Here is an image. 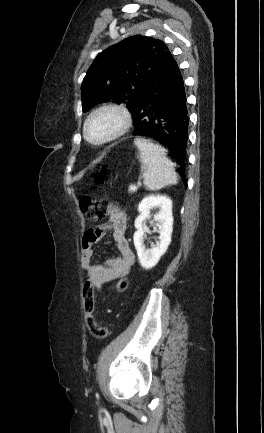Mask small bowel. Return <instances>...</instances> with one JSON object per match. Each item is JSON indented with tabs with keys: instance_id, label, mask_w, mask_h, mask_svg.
<instances>
[{
	"instance_id": "small-bowel-1",
	"label": "small bowel",
	"mask_w": 264,
	"mask_h": 433,
	"mask_svg": "<svg viewBox=\"0 0 264 433\" xmlns=\"http://www.w3.org/2000/svg\"><path fill=\"white\" fill-rule=\"evenodd\" d=\"M108 221L105 225L89 229L81 241V264L88 280L100 290L106 283L125 277L135 263V256L126 239V216L121 209L111 203L106 209ZM107 231H111L119 255L108 259L105 264L93 262V244Z\"/></svg>"
}]
</instances>
